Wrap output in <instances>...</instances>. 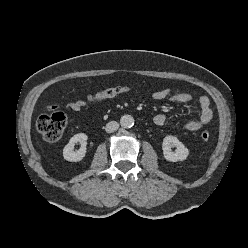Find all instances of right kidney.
I'll return each instance as SVG.
<instances>
[{"instance_id":"obj_1","label":"right kidney","mask_w":248,"mask_h":248,"mask_svg":"<svg viewBox=\"0 0 248 248\" xmlns=\"http://www.w3.org/2000/svg\"><path fill=\"white\" fill-rule=\"evenodd\" d=\"M87 135L84 133H78L71 137L68 144L63 149V157L67 161L78 162L81 161L86 154ZM80 143L81 147L79 150L74 151L76 143Z\"/></svg>"}]
</instances>
